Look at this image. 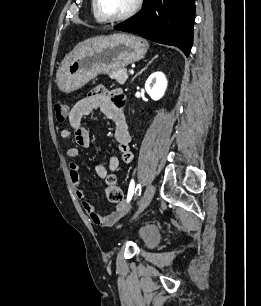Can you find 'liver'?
Returning <instances> with one entry per match:
<instances>
[{
	"label": "liver",
	"mask_w": 261,
	"mask_h": 306,
	"mask_svg": "<svg viewBox=\"0 0 261 306\" xmlns=\"http://www.w3.org/2000/svg\"><path fill=\"white\" fill-rule=\"evenodd\" d=\"M101 38H102V36H99V37H92V38L86 39V40H84V41L78 43V44L74 47L73 51H72L70 54L74 53L75 51H77V50L80 49L81 47H83V46H85V45H88V44H90V43H93V42H95V41H97V40H99V39H101Z\"/></svg>",
	"instance_id": "liver-1"
}]
</instances>
